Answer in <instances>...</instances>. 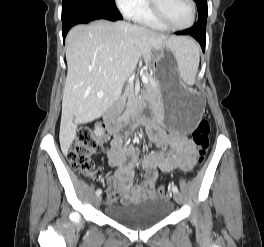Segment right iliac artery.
Masks as SVG:
<instances>
[{"label": "right iliac artery", "instance_id": "right-iliac-artery-1", "mask_svg": "<svg viewBox=\"0 0 264 247\" xmlns=\"http://www.w3.org/2000/svg\"><path fill=\"white\" fill-rule=\"evenodd\" d=\"M102 193L101 189L96 190V195H100Z\"/></svg>", "mask_w": 264, "mask_h": 247}]
</instances>
